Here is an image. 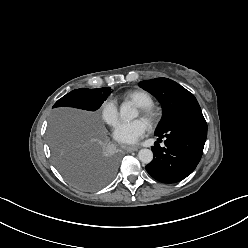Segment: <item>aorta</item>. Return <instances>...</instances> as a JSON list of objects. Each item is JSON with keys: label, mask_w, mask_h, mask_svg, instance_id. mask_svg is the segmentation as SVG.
I'll use <instances>...</instances> for the list:
<instances>
[{"label": "aorta", "mask_w": 248, "mask_h": 248, "mask_svg": "<svg viewBox=\"0 0 248 248\" xmlns=\"http://www.w3.org/2000/svg\"><path fill=\"white\" fill-rule=\"evenodd\" d=\"M138 112L129 103H123L120 107V116L124 121H129L136 118ZM138 159L145 164H148L153 159V152L150 149H141L138 152Z\"/></svg>", "instance_id": "762f6f07"}]
</instances>
